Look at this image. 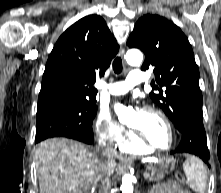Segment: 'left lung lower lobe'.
<instances>
[{
    "instance_id": "left-lung-lower-lobe-1",
    "label": "left lung lower lobe",
    "mask_w": 221,
    "mask_h": 193,
    "mask_svg": "<svg viewBox=\"0 0 221 193\" xmlns=\"http://www.w3.org/2000/svg\"><path fill=\"white\" fill-rule=\"evenodd\" d=\"M182 139L175 150L177 153H188L201 158L205 163L210 157L207 147L206 132L203 127L202 108H195L192 111V118L187 128L181 131Z\"/></svg>"
}]
</instances>
